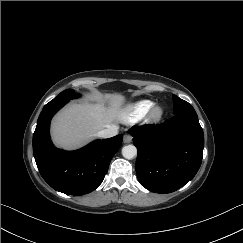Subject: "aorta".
<instances>
[{
  "label": "aorta",
  "instance_id": "aorta-1",
  "mask_svg": "<svg viewBox=\"0 0 243 243\" xmlns=\"http://www.w3.org/2000/svg\"><path fill=\"white\" fill-rule=\"evenodd\" d=\"M122 155L126 159H133L137 155V148L130 144L122 148Z\"/></svg>",
  "mask_w": 243,
  "mask_h": 243
}]
</instances>
